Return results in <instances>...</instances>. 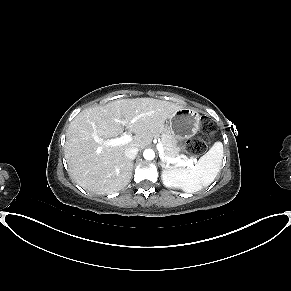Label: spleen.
Masks as SVG:
<instances>
[{
    "label": "spleen",
    "instance_id": "spleen-1",
    "mask_svg": "<svg viewBox=\"0 0 291 291\" xmlns=\"http://www.w3.org/2000/svg\"><path fill=\"white\" fill-rule=\"evenodd\" d=\"M223 145L216 142L193 167L174 168L167 176L185 192H196L209 186L220 171Z\"/></svg>",
    "mask_w": 291,
    "mask_h": 291
}]
</instances>
